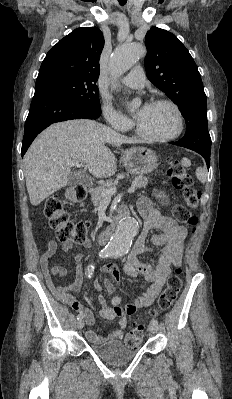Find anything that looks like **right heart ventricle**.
<instances>
[{
  "mask_svg": "<svg viewBox=\"0 0 232 399\" xmlns=\"http://www.w3.org/2000/svg\"><path fill=\"white\" fill-rule=\"evenodd\" d=\"M128 128H129V127H127V128H124L123 130H124V131H125V130H128Z\"/></svg>",
  "mask_w": 232,
  "mask_h": 399,
  "instance_id": "right-heart-ventricle-1",
  "label": "right heart ventricle"
}]
</instances>
